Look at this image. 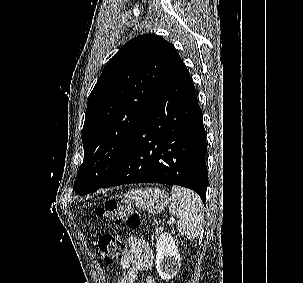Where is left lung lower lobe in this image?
Instances as JSON below:
<instances>
[{
  "instance_id": "left-lung-lower-lobe-1",
  "label": "left lung lower lobe",
  "mask_w": 303,
  "mask_h": 283,
  "mask_svg": "<svg viewBox=\"0 0 303 283\" xmlns=\"http://www.w3.org/2000/svg\"><path fill=\"white\" fill-rule=\"evenodd\" d=\"M206 150L196 90L178 56L163 78L118 168L97 189L131 183L179 185L197 192L205 204Z\"/></svg>"
}]
</instances>
